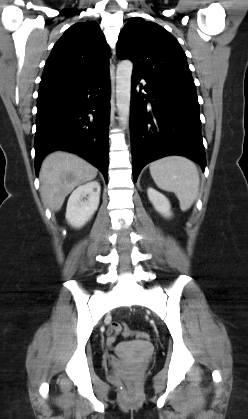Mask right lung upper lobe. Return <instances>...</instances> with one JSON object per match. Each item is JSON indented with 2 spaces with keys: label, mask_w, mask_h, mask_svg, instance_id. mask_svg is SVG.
Wrapping results in <instances>:
<instances>
[{
  "label": "right lung upper lobe",
  "mask_w": 248,
  "mask_h": 419,
  "mask_svg": "<svg viewBox=\"0 0 248 419\" xmlns=\"http://www.w3.org/2000/svg\"><path fill=\"white\" fill-rule=\"evenodd\" d=\"M108 64L109 47L99 25L91 21L76 23L54 45L39 89L94 78L107 70Z\"/></svg>",
  "instance_id": "obj_1"
}]
</instances>
